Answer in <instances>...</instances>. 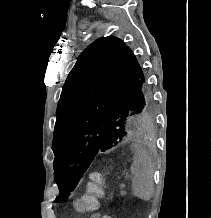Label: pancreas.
<instances>
[{"instance_id": "obj_1", "label": "pancreas", "mask_w": 211, "mask_h": 218, "mask_svg": "<svg viewBox=\"0 0 211 218\" xmlns=\"http://www.w3.org/2000/svg\"><path fill=\"white\" fill-rule=\"evenodd\" d=\"M120 188H125V184H120ZM121 196H124L125 192H120Z\"/></svg>"}]
</instances>
